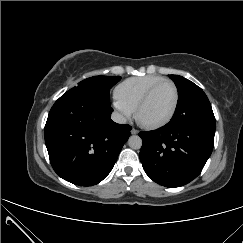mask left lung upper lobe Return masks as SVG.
Returning <instances> with one entry per match:
<instances>
[{
    "label": "left lung upper lobe",
    "instance_id": "1",
    "mask_svg": "<svg viewBox=\"0 0 243 243\" xmlns=\"http://www.w3.org/2000/svg\"><path fill=\"white\" fill-rule=\"evenodd\" d=\"M168 76L174 81L179 95L175 113L170 121L214 129L215 117L203 90L182 76Z\"/></svg>",
    "mask_w": 243,
    "mask_h": 243
}]
</instances>
